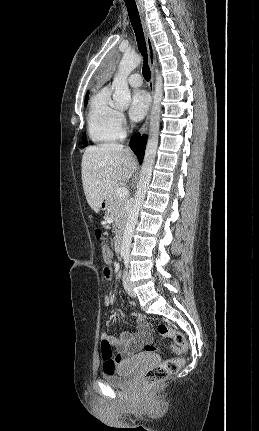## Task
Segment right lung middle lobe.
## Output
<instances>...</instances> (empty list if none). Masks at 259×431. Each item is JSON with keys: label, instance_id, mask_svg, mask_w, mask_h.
<instances>
[{"label": "right lung middle lobe", "instance_id": "right-lung-middle-lobe-1", "mask_svg": "<svg viewBox=\"0 0 259 431\" xmlns=\"http://www.w3.org/2000/svg\"><path fill=\"white\" fill-rule=\"evenodd\" d=\"M87 100H88V93H87L86 98H85V106H86V104H87ZM83 145H84V146H86V145H87V141H86L85 134L83 135Z\"/></svg>", "mask_w": 259, "mask_h": 431}]
</instances>
